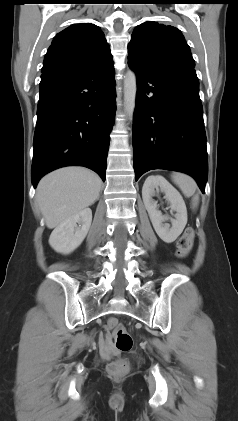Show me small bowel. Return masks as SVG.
<instances>
[{"instance_id": "1", "label": "small bowel", "mask_w": 238, "mask_h": 421, "mask_svg": "<svg viewBox=\"0 0 238 421\" xmlns=\"http://www.w3.org/2000/svg\"><path fill=\"white\" fill-rule=\"evenodd\" d=\"M99 344H100V348H101V350L104 354L108 355L113 351V348H112V345H111V340L107 335L102 336L100 338Z\"/></svg>"}]
</instances>
